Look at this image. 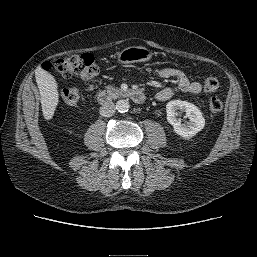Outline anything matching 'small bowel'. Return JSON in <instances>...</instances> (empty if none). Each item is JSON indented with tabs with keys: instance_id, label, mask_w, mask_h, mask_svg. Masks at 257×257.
<instances>
[{
	"instance_id": "small-bowel-1",
	"label": "small bowel",
	"mask_w": 257,
	"mask_h": 257,
	"mask_svg": "<svg viewBox=\"0 0 257 257\" xmlns=\"http://www.w3.org/2000/svg\"><path fill=\"white\" fill-rule=\"evenodd\" d=\"M157 74L165 79L173 78L177 81V90L182 92L198 94L202 90V85L198 81L190 80L181 70L170 67L156 69ZM176 89L163 88L155 94V98L159 101L169 100L175 93Z\"/></svg>"
}]
</instances>
